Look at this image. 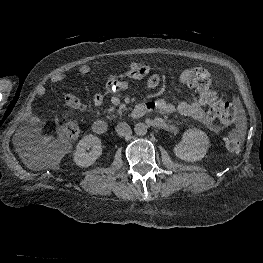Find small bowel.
Segmentation results:
<instances>
[{
	"label": "small bowel",
	"mask_w": 263,
	"mask_h": 263,
	"mask_svg": "<svg viewBox=\"0 0 263 263\" xmlns=\"http://www.w3.org/2000/svg\"><path fill=\"white\" fill-rule=\"evenodd\" d=\"M92 71L91 67L88 65H82L78 68L77 73L81 76H86ZM145 80V87L147 89L156 88L161 80L160 74L156 71V67L152 63L144 64L138 61H133L129 63L126 70L119 73L118 75L110 76L105 82V91L119 92L124 91L129 88L130 81H141ZM68 80V76L64 73H57L51 76L50 82L52 84L62 83ZM46 93L44 87H39L36 91L37 97H42ZM104 96L100 91H96L92 95V105L94 107H100L103 103ZM64 101L67 106L72 109L85 111L87 105L84 104L77 96L72 93L66 92L64 94ZM150 110H158L163 114H170L174 111L178 112L182 116L191 117L197 121L203 123L207 128L212 131H217L218 126L215 124L214 119L207 114L204 109V103L198 99L192 102L188 101H179L177 104H173L166 98H161L155 101H150L146 103ZM40 132L39 122L36 115H32L30 118V124L25 129V135L28 137L34 138ZM60 139V134H58L57 139H54L52 136L44 135L38 137V142L46 145L53 146L56 141Z\"/></svg>",
	"instance_id": "c3829d8e"
}]
</instances>
